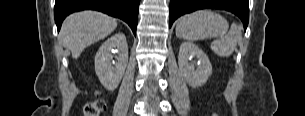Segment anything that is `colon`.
Here are the masks:
<instances>
[{
    "mask_svg": "<svg viewBox=\"0 0 305 116\" xmlns=\"http://www.w3.org/2000/svg\"><path fill=\"white\" fill-rule=\"evenodd\" d=\"M106 105L104 101L100 98H96L94 101L87 103L84 106L85 116H100L105 110ZM214 116H217L214 114Z\"/></svg>",
    "mask_w": 305,
    "mask_h": 116,
    "instance_id": "5ec220e1",
    "label": "colon"
}]
</instances>
